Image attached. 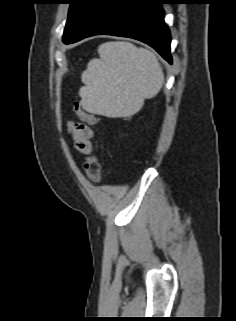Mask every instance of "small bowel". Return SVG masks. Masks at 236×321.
I'll return each instance as SVG.
<instances>
[{"mask_svg":"<svg viewBox=\"0 0 236 321\" xmlns=\"http://www.w3.org/2000/svg\"><path fill=\"white\" fill-rule=\"evenodd\" d=\"M67 128L74 141L75 148L82 153L89 152L93 131L83 122L68 121Z\"/></svg>","mask_w":236,"mask_h":321,"instance_id":"c3829d8e","label":"small bowel"}]
</instances>
